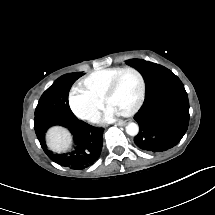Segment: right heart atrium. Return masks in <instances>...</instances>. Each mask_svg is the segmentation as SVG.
I'll use <instances>...</instances> for the list:
<instances>
[{"label": "right heart atrium", "mask_w": 215, "mask_h": 215, "mask_svg": "<svg viewBox=\"0 0 215 215\" xmlns=\"http://www.w3.org/2000/svg\"><path fill=\"white\" fill-rule=\"evenodd\" d=\"M69 105L78 118L88 122H94L101 109L100 102L94 95L76 87L70 91Z\"/></svg>", "instance_id": "right-heart-atrium-1"}]
</instances>
